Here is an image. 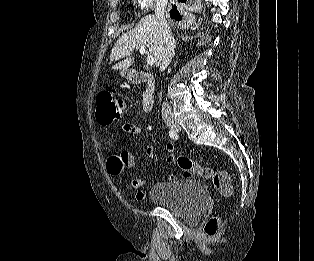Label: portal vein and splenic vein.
<instances>
[{
	"instance_id": "portal-vein-and-splenic-vein-1",
	"label": "portal vein and splenic vein",
	"mask_w": 314,
	"mask_h": 261,
	"mask_svg": "<svg viewBox=\"0 0 314 261\" xmlns=\"http://www.w3.org/2000/svg\"><path fill=\"white\" fill-rule=\"evenodd\" d=\"M140 53L141 55H144L146 53V49L144 45L140 46ZM146 62L148 65L152 66L155 63L154 57L152 55H148L146 58Z\"/></svg>"
}]
</instances>
